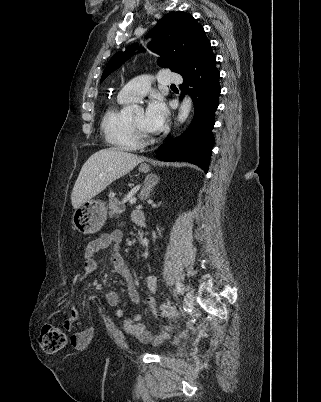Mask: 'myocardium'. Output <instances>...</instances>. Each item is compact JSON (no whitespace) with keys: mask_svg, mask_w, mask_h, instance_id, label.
Masks as SVG:
<instances>
[{"mask_svg":"<svg viewBox=\"0 0 321 402\" xmlns=\"http://www.w3.org/2000/svg\"><path fill=\"white\" fill-rule=\"evenodd\" d=\"M128 126L140 145H146L153 141V137L151 135L146 134L140 129L136 128L130 120H128Z\"/></svg>","mask_w":321,"mask_h":402,"instance_id":"f54148a6","label":"myocardium"}]
</instances>
